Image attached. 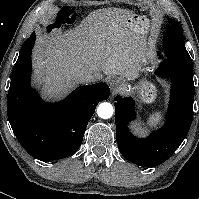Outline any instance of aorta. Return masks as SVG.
<instances>
[{"label": "aorta", "instance_id": "aorta-1", "mask_svg": "<svg viewBox=\"0 0 199 199\" xmlns=\"http://www.w3.org/2000/svg\"><path fill=\"white\" fill-rule=\"evenodd\" d=\"M114 112L113 106L110 103H101L97 108V114L100 118L108 119L112 117Z\"/></svg>", "mask_w": 199, "mask_h": 199}]
</instances>
